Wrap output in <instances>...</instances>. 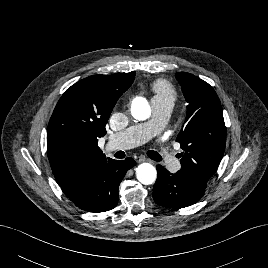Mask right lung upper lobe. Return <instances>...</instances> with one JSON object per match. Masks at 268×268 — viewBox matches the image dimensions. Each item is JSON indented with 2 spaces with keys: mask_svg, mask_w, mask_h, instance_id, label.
Masks as SVG:
<instances>
[{
  "mask_svg": "<svg viewBox=\"0 0 268 268\" xmlns=\"http://www.w3.org/2000/svg\"><path fill=\"white\" fill-rule=\"evenodd\" d=\"M134 78L135 71L89 76L68 88L58 101L48 124L47 154L57 183L71 200L111 159L98 147V139L106 134L109 116Z\"/></svg>",
  "mask_w": 268,
  "mask_h": 268,
  "instance_id": "obj_1",
  "label": "right lung upper lobe"
}]
</instances>
